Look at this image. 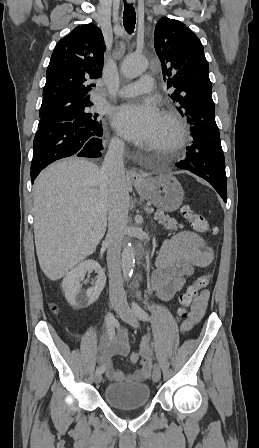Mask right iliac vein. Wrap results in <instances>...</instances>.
<instances>
[{
    "label": "right iliac vein",
    "instance_id": "obj_1",
    "mask_svg": "<svg viewBox=\"0 0 259 448\" xmlns=\"http://www.w3.org/2000/svg\"><path fill=\"white\" fill-rule=\"evenodd\" d=\"M110 304H111L112 309L116 311L117 308H118V306H119V304H120V302H119L118 300H116V299H112L111 302H110ZM101 380H102V375L99 374V373H96V374L94 375V382H95L96 384H98V383L101 382Z\"/></svg>",
    "mask_w": 259,
    "mask_h": 448
}]
</instances>
